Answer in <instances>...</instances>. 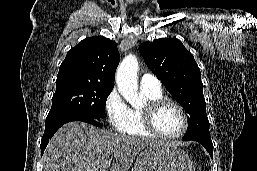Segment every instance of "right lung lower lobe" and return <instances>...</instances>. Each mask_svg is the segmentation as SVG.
<instances>
[{"label": "right lung lower lobe", "mask_w": 257, "mask_h": 171, "mask_svg": "<svg viewBox=\"0 0 257 171\" xmlns=\"http://www.w3.org/2000/svg\"><path fill=\"white\" fill-rule=\"evenodd\" d=\"M71 121H82L95 126H102V124L96 121V118L79 114V113H64L56 116L47 117L45 122V131L41 139V154L44 153V150L49 143V140L55 134V132L65 123Z\"/></svg>", "instance_id": "98d812e1"}]
</instances>
